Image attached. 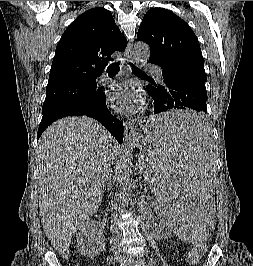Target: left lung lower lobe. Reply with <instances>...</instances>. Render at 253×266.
Returning a JSON list of instances; mask_svg holds the SVG:
<instances>
[{"instance_id": "left-lung-lower-lobe-1", "label": "left lung lower lobe", "mask_w": 253, "mask_h": 266, "mask_svg": "<svg viewBox=\"0 0 253 266\" xmlns=\"http://www.w3.org/2000/svg\"><path fill=\"white\" fill-rule=\"evenodd\" d=\"M150 63L162 68L164 83L153 82L147 86L148 94L154 99V114L175 109H192L201 117L194 118L184 125L155 126L152 130L157 134L170 132L187 135H202L206 129L203 114L207 113V92L205 88V72L183 63Z\"/></svg>"}]
</instances>
